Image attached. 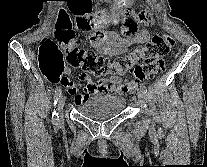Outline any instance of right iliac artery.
Here are the masks:
<instances>
[{
    "label": "right iliac artery",
    "instance_id": "obj_1",
    "mask_svg": "<svg viewBox=\"0 0 207 167\" xmlns=\"http://www.w3.org/2000/svg\"><path fill=\"white\" fill-rule=\"evenodd\" d=\"M60 96H61V90L58 89V90L55 92V95H54V105L57 104V101H58V99L60 98ZM58 120H59L58 113H57V112L55 111V109H54V111L52 112V123H53L54 125H57V124H58Z\"/></svg>",
    "mask_w": 207,
    "mask_h": 167
}]
</instances>
